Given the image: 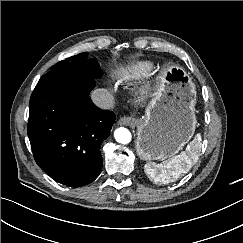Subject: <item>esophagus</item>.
<instances>
[{"mask_svg":"<svg viewBox=\"0 0 243 243\" xmlns=\"http://www.w3.org/2000/svg\"><path fill=\"white\" fill-rule=\"evenodd\" d=\"M136 119L131 118V117H121L118 120V125H125V126H131L136 124Z\"/></svg>","mask_w":243,"mask_h":243,"instance_id":"obj_1","label":"esophagus"}]
</instances>
